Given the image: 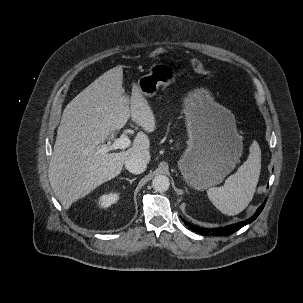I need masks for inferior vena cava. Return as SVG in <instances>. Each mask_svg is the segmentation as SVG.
Here are the masks:
<instances>
[{
  "mask_svg": "<svg viewBox=\"0 0 303 303\" xmlns=\"http://www.w3.org/2000/svg\"><path fill=\"white\" fill-rule=\"evenodd\" d=\"M126 169L133 174H141L146 170L147 161L141 157H131L125 162Z\"/></svg>",
  "mask_w": 303,
  "mask_h": 303,
  "instance_id": "inferior-vena-cava-1",
  "label": "inferior vena cava"
}]
</instances>
